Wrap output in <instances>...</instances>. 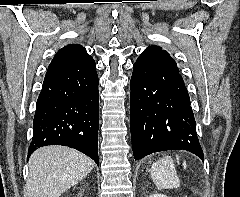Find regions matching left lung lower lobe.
I'll return each instance as SVG.
<instances>
[{"label": "left lung lower lobe", "mask_w": 240, "mask_h": 197, "mask_svg": "<svg viewBox=\"0 0 240 197\" xmlns=\"http://www.w3.org/2000/svg\"><path fill=\"white\" fill-rule=\"evenodd\" d=\"M130 88L135 160L158 151L187 150L204 161L189 95L179 73L133 66Z\"/></svg>", "instance_id": "0a47b994"}]
</instances>
